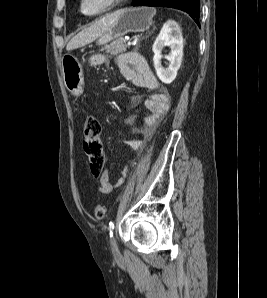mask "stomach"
<instances>
[{"label":"stomach","mask_w":267,"mask_h":298,"mask_svg":"<svg viewBox=\"0 0 267 298\" xmlns=\"http://www.w3.org/2000/svg\"><path fill=\"white\" fill-rule=\"evenodd\" d=\"M119 15L111 27L97 39V44L104 45L130 32H144L149 29L153 10L148 7L125 8L118 11ZM62 74L65 87L73 95L83 93V68L79 60L71 54L62 57Z\"/></svg>","instance_id":"obj_1"}]
</instances>
